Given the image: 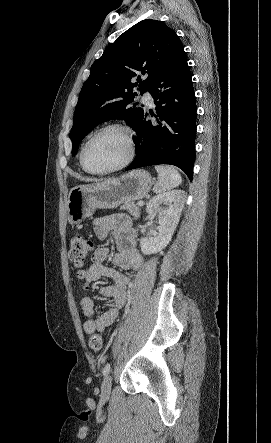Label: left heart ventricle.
I'll return each mask as SVG.
<instances>
[{"mask_svg":"<svg viewBox=\"0 0 271 443\" xmlns=\"http://www.w3.org/2000/svg\"><path fill=\"white\" fill-rule=\"evenodd\" d=\"M128 142L125 134L110 129L96 136L87 146L85 159L92 169H107L120 163L127 155Z\"/></svg>","mask_w":271,"mask_h":443,"instance_id":"1","label":"left heart ventricle"}]
</instances>
